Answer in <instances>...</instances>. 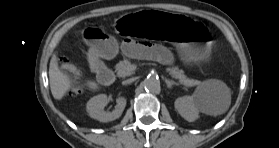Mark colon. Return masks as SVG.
<instances>
[{
    "label": "colon",
    "mask_w": 279,
    "mask_h": 148,
    "mask_svg": "<svg viewBox=\"0 0 279 148\" xmlns=\"http://www.w3.org/2000/svg\"><path fill=\"white\" fill-rule=\"evenodd\" d=\"M61 67H62V69L63 70H67V63H62V65H61ZM84 92V86L82 85V84H76V85H73L71 88H70V90H69V94L70 95H74V96H76V95H80V94H82Z\"/></svg>",
    "instance_id": "obj_1"
}]
</instances>
